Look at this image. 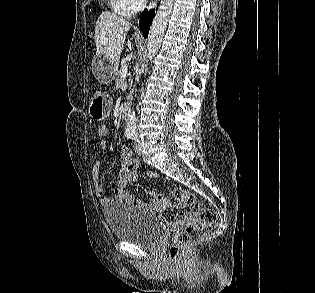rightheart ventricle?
<instances>
[{"label":"right heart ventricle","mask_w":315,"mask_h":293,"mask_svg":"<svg viewBox=\"0 0 315 293\" xmlns=\"http://www.w3.org/2000/svg\"><path fill=\"white\" fill-rule=\"evenodd\" d=\"M109 5L112 11L120 16L129 17L133 12L126 0H109Z\"/></svg>","instance_id":"right-heart-ventricle-1"}]
</instances>
